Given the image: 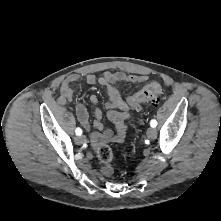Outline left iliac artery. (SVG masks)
<instances>
[{
	"label": "left iliac artery",
	"mask_w": 221,
	"mask_h": 221,
	"mask_svg": "<svg viewBox=\"0 0 221 221\" xmlns=\"http://www.w3.org/2000/svg\"><path fill=\"white\" fill-rule=\"evenodd\" d=\"M150 125H151V127L155 128L157 126V121L155 119H152L150 121Z\"/></svg>",
	"instance_id": "obj_1"
}]
</instances>
